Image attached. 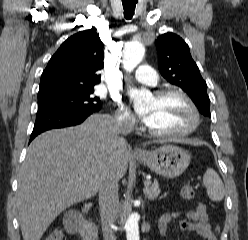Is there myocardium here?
<instances>
[{
    "mask_svg": "<svg viewBox=\"0 0 248 240\" xmlns=\"http://www.w3.org/2000/svg\"><path fill=\"white\" fill-rule=\"evenodd\" d=\"M168 95H178L185 100L193 116L192 123L186 129L177 132H158L150 129L148 126L146 127V131L149 134L159 138H180L190 135L191 133H193L198 129L201 123V115L196 104L185 91L179 88L167 87V88L159 89L154 93V97L156 98H162Z\"/></svg>",
    "mask_w": 248,
    "mask_h": 240,
    "instance_id": "myocardium-1",
    "label": "myocardium"
}]
</instances>
